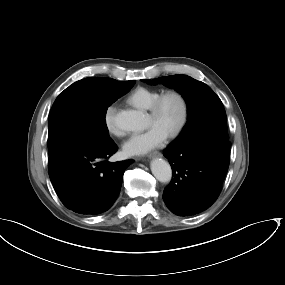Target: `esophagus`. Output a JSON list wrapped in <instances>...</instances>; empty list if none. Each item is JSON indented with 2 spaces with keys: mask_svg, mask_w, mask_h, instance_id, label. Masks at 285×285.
I'll return each mask as SVG.
<instances>
[{
  "mask_svg": "<svg viewBox=\"0 0 285 285\" xmlns=\"http://www.w3.org/2000/svg\"><path fill=\"white\" fill-rule=\"evenodd\" d=\"M161 156H162V154L160 152L154 151L148 155V158L161 157ZM140 159H142V157L136 158V160H140Z\"/></svg>",
  "mask_w": 285,
  "mask_h": 285,
  "instance_id": "1",
  "label": "esophagus"
}]
</instances>
